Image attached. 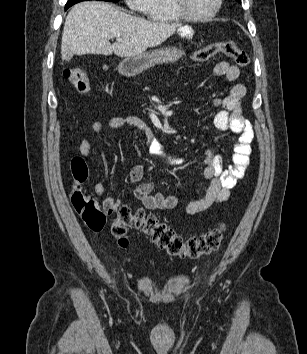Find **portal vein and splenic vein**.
Masks as SVG:
<instances>
[{
	"label": "portal vein and splenic vein",
	"instance_id": "1",
	"mask_svg": "<svg viewBox=\"0 0 307 354\" xmlns=\"http://www.w3.org/2000/svg\"><path fill=\"white\" fill-rule=\"evenodd\" d=\"M116 40L119 41V42L122 41V39L120 37H117Z\"/></svg>",
	"mask_w": 307,
	"mask_h": 354
}]
</instances>
